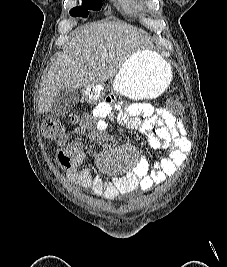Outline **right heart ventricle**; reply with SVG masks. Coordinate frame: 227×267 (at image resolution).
Listing matches in <instances>:
<instances>
[{
    "mask_svg": "<svg viewBox=\"0 0 227 267\" xmlns=\"http://www.w3.org/2000/svg\"><path fill=\"white\" fill-rule=\"evenodd\" d=\"M118 4L124 11L128 13L139 10L141 6L139 0H118Z\"/></svg>",
    "mask_w": 227,
    "mask_h": 267,
    "instance_id": "obj_1",
    "label": "right heart ventricle"
}]
</instances>
